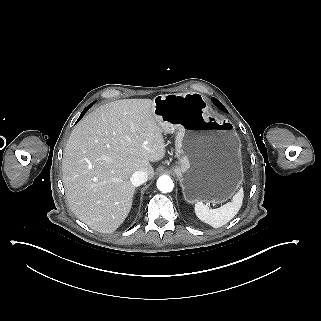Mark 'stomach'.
Segmentation results:
<instances>
[{
  "mask_svg": "<svg viewBox=\"0 0 321 321\" xmlns=\"http://www.w3.org/2000/svg\"><path fill=\"white\" fill-rule=\"evenodd\" d=\"M153 114L162 130L176 133L173 171L189 204H222L243 183L240 137L231 120L210 116L197 92L155 96Z\"/></svg>",
  "mask_w": 321,
  "mask_h": 321,
  "instance_id": "0dacf381",
  "label": "stomach"
}]
</instances>
